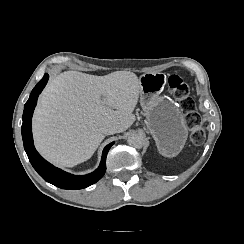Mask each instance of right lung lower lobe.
<instances>
[{
	"mask_svg": "<svg viewBox=\"0 0 244 244\" xmlns=\"http://www.w3.org/2000/svg\"><path fill=\"white\" fill-rule=\"evenodd\" d=\"M48 78V74H45L43 78L37 83V85L32 90L28 101L24 106V112L22 116V138L24 149L32 166L45 181L63 189L75 190L86 188L96 183L105 174L106 156L114 142L108 144L104 148L100 166L94 172L87 175L76 176L69 174L67 172L62 171L61 169L54 167L46 160H44L34 147L31 121L33 111L37 103V98L43 90V88L45 87Z\"/></svg>",
	"mask_w": 244,
	"mask_h": 244,
	"instance_id": "obj_1",
	"label": "right lung lower lobe"
}]
</instances>
